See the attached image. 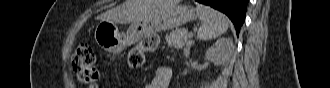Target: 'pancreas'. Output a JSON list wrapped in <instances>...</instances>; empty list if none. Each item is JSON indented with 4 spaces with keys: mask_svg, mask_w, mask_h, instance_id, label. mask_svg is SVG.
<instances>
[{
    "mask_svg": "<svg viewBox=\"0 0 330 88\" xmlns=\"http://www.w3.org/2000/svg\"><path fill=\"white\" fill-rule=\"evenodd\" d=\"M165 40L168 46L181 49L188 42V33L185 29H175L166 35Z\"/></svg>",
    "mask_w": 330,
    "mask_h": 88,
    "instance_id": "obj_1",
    "label": "pancreas"
}]
</instances>
